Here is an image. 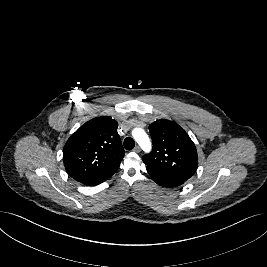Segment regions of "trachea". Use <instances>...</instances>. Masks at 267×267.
Returning <instances> with one entry per match:
<instances>
[{
  "instance_id": "3493384b",
  "label": "trachea",
  "mask_w": 267,
  "mask_h": 267,
  "mask_svg": "<svg viewBox=\"0 0 267 267\" xmlns=\"http://www.w3.org/2000/svg\"><path fill=\"white\" fill-rule=\"evenodd\" d=\"M135 147V142L131 137H127L124 140V148L126 150H132Z\"/></svg>"
}]
</instances>
